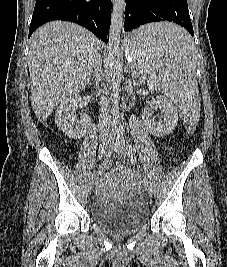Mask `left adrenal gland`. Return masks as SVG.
<instances>
[{"label": "left adrenal gland", "mask_w": 227, "mask_h": 267, "mask_svg": "<svg viewBox=\"0 0 227 267\" xmlns=\"http://www.w3.org/2000/svg\"><path fill=\"white\" fill-rule=\"evenodd\" d=\"M131 75L133 79L137 78V72L131 68Z\"/></svg>", "instance_id": "1"}]
</instances>
